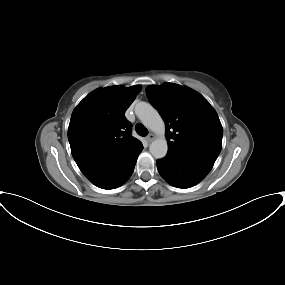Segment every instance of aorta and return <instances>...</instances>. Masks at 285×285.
Wrapping results in <instances>:
<instances>
[{
	"mask_svg": "<svg viewBox=\"0 0 285 285\" xmlns=\"http://www.w3.org/2000/svg\"><path fill=\"white\" fill-rule=\"evenodd\" d=\"M137 117L152 132L159 135L149 147V151L156 159L165 157L168 151V144L165 139V124L158 111L146 102H140L135 109Z\"/></svg>",
	"mask_w": 285,
	"mask_h": 285,
	"instance_id": "762f6f07",
	"label": "aorta"
}]
</instances>
